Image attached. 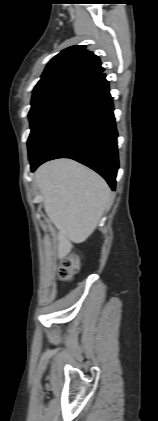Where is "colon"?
Returning <instances> with one entry per match:
<instances>
[{
  "instance_id": "colon-1",
  "label": "colon",
  "mask_w": 158,
  "mask_h": 421,
  "mask_svg": "<svg viewBox=\"0 0 158 421\" xmlns=\"http://www.w3.org/2000/svg\"><path fill=\"white\" fill-rule=\"evenodd\" d=\"M79 270V261L75 255H70L62 260L60 278L69 281Z\"/></svg>"
}]
</instances>
